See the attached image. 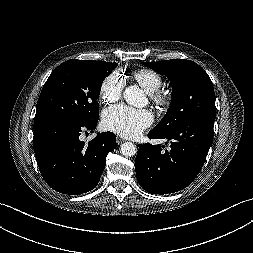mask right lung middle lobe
<instances>
[{
    "label": "right lung middle lobe",
    "instance_id": "right-lung-middle-lobe-1",
    "mask_svg": "<svg viewBox=\"0 0 253 253\" xmlns=\"http://www.w3.org/2000/svg\"><path fill=\"white\" fill-rule=\"evenodd\" d=\"M117 63L72 59L49 76L37 102L34 122L63 118L87 123L99 118L101 84Z\"/></svg>",
    "mask_w": 253,
    "mask_h": 253
}]
</instances>
